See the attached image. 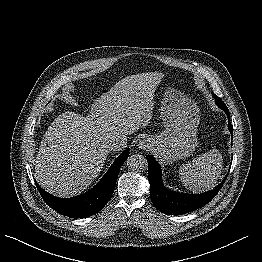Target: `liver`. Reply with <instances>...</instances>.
Listing matches in <instances>:
<instances>
[{
	"instance_id": "6515ba94",
	"label": "liver",
	"mask_w": 262,
	"mask_h": 262,
	"mask_svg": "<svg viewBox=\"0 0 262 262\" xmlns=\"http://www.w3.org/2000/svg\"><path fill=\"white\" fill-rule=\"evenodd\" d=\"M163 77L161 72L127 76L94 101L88 117L59 115L43 135L34 163L40 186L60 197L89 187L105 164L108 143L148 125Z\"/></svg>"
}]
</instances>
